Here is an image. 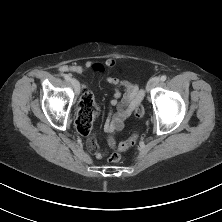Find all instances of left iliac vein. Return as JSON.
<instances>
[{"instance_id":"4c4485c4","label":"left iliac vein","mask_w":222,"mask_h":222,"mask_svg":"<svg viewBox=\"0 0 222 222\" xmlns=\"http://www.w3.org/2000/svg\"><path fill=\"white\" fill-rule=\"evenodd\" d=\"M159 82H160V79L158 77L151 78L147 84V91H150L152 88L157 86Z\"/></svg>"}]
</instances>
